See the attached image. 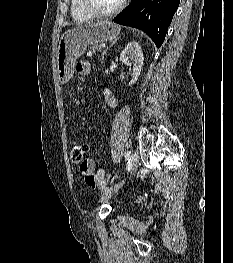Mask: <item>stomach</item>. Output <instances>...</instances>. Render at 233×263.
<instances>
[{
  "label": "stomach",
  "instance_id": "0dacf381",
  "mask_svg": "<svg viewBox=\"0 0 233 263\" xmlns=\"http://www.w3.org/2000/svg\"><path fill=\"white\" fill-rule=\"evenodd\" d=\"M120 33V27L109 20L89 23L66 31L60 38L56 63L57 77L60 83L68 82L74 73L76 60L85 53L88 45L114 40Z\"/></svg>",
  "mask_w": 233,
  "mask_h": 263
}]
</instances>
